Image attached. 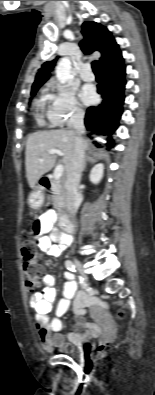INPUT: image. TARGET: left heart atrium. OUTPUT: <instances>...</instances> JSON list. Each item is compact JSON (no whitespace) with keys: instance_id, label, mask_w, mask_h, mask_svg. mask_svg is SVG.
Listing matches in <instances>:
<instances>
[{"instance_id":"1","label":"left heart atrium","mask_w":155,"mask_h":395,"mask_svg":"<svg viewBox=\"0 0 155 395\" xmlns=\"http://www.w3.org/2000/svg\"><path fill=\"white\" fill-rule=\"evenodd\" d=\"M80 96H81L82 101L85 104H89V103L93 102V100L95 99V92H94L93 88L86 86L81 91Z\"/></svg>"}]
</instances>
